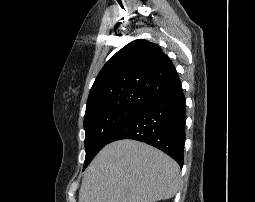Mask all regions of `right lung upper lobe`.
I'll return each mask as SVG.
<instances>
[{"instance_id": "1", "label": "right lung upper lobe", "mask_w": 255, "mask_h": 202, "mask_svg": "<svg viewBox=\"0 0 255 202\" xmlns=\"http://www.w3.org/2000/svg\"><path fill=\"white\" fill-rule=\"evenodd\" d=\"M180 87L168 56L156 44L138 39L104 65L90 90L85 116L111 108H141Z\"/></svg>"}]
</instances>
